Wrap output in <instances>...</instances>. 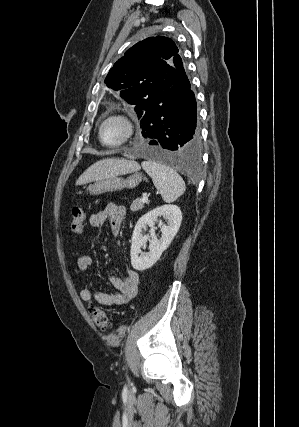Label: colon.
<instances>
[{"mask_svg": "<svg viewBox=\"0 0 299 427\" xmlns=\"http://www.w3.org/2000/svg\"><path fill=\"white\" fill-rule=\"evenodd\" d=\"M85 222V212L81 205L76 204L71 210L69 228L73 233H80ZM92 319L96 326L103 331H108L111 326L110 318L102 309L92 306L90 308Z\"/></svg>", "mask_w": 299, "mask_h": 427, "instance_id": "obj_1", "label": "colon"}]
</instances>
